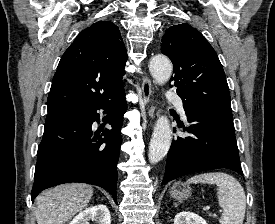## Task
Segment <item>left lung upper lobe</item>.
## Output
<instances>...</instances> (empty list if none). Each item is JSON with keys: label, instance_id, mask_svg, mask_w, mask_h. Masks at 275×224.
Instances as JSON below:
<instances>
[{"label": "left lung upper lobe", "instance_id": "obj_1", "mask_svg": "<svg viewBox=\"0 0 275 224\" xmlns=\"http://www.w3.org/2000/svg\"><path fill=\"white\" fill-rule=\"evenodd\" d=\"M161 51L174 66L171 87L177 88L189 110L232 117L224 70L213 47L198 30L187 23L169 27L162 37Z\"/></svg>", "mask_w": 275, "mask_h": 224}]
</instances>
